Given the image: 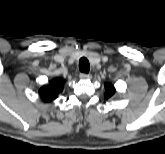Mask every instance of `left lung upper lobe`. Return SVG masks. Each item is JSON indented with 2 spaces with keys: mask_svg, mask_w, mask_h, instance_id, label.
Listing matches in <instances>:
<instances>
[{
  "mask_svg": "<svg viewBox=\"0 0 165 154\" xmlns=\"http://www.w3.org/2000/svg\"><path fill=\"white\" fill-rule=\"evenodd\" d=\"M115 94V88L111 84H106L105 86V98H111Z\"/></svg>",
  "mask_w": 165,
  "mask_h": 154,
  "instance_id": "left-lung-upper-lobe-1",
  "label": "left lung upper lobe"
}]
</instances>
